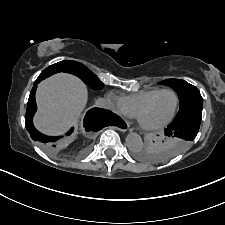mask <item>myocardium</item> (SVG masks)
Masks as SVG:
<instances>
[{
    "mask_svg": "<svg viewBox=\"0 0 225 225\" xmlns=\"http://www.w3.org/2000/svg\"><path fill=\"white\" fill-rule=\"evenodd\" d=\"M164 92H171L175 95L176 98V104H175V108L172 112V114L170 115V117L165 120L164 122L158 124V125H153V126H149L144 124L143 120H142V116L143 113L146 111V109L148 108V106L154 101V99L159 96L160 94L164 93ZM180 107V97L179 94L171 88H164V89H160L158 92H156L154 95H152L138 110L136 118L138 120L139 125L141 126V128H143L144 130L147 131H157V130H162L165 127H167L169 124L172 123V121L175 119L177 112L179 110Z\"/></svg>",
    "mask_w": 225,
    "mask_h": 225,
    "instance_id": "myocardium-1",
    "label": "myocardium"
}]
</instances>
